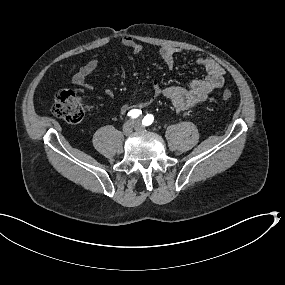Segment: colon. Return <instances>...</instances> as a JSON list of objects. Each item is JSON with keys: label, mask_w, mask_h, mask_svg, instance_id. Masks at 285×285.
<instances>
[{"label": "colon", "mask_w": 285, "mask_h": 285, "mask_svg": "<svg viewBox=\"0 0 285 285\" xmlns=\"http://www.w3.org/2000/svg\"><path fill=\"white\" fill-rule=\"evenodd\" d=\"M232 98L230 90L222 92V99ZM86 108L80 93L76 90L66 89L58 92L54 99L53 113L68 123L75 124L83 120Z\"/></svg>", "instance_id": "5ec220e1"}]
</instances>
